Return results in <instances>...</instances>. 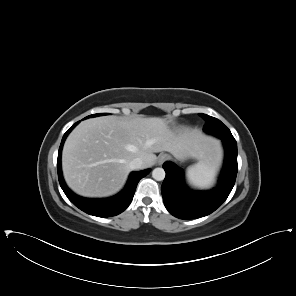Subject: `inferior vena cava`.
Returning a JSON list of instances; mask_svg holds the SVG:
<instances>
[{"instance_id":"602c4592","label":"inferior vena cava","mask_w":296,"mask_h":296,"mask_svg":"<svg viewBox=\"0 0 296 296\" xmlns=\"http://www.w3.org/2000/svg\"><path fill=\"white\" fill-rule=\"evenodd\" d=\"M131 170L140 169L143 167V160L141 158H135L129 163Z\"/></svg>"}]
</instances>
